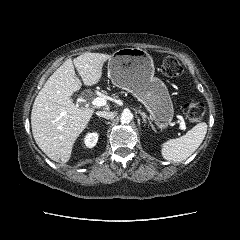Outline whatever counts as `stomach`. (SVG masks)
I'll list each match as a JSON object with an SVG mask.
<instances>
[{
	"mask_svg": "<svg viewBox=\"0 0 240 240\" xmlns=\"http://www.w3.org/2000/svg\"><path fill=\"white\" fill-rule=\"evenodd\" d=\"M152 57L140 48H122L108 61L112 83L132 93L144 104L160 129L171 122L174 109L166 85L154 76Z\"/></svg>",
	"mask_w": 240,
	"mask_h": 240,
	"instance_id": "0dacf381",
	"label": "stomach"
}]
</instances>
